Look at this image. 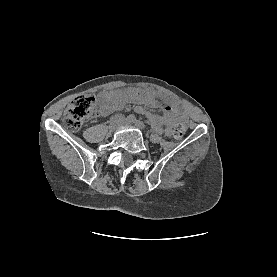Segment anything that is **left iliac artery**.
<instances>
[{"instance_id": "left-iliac-artery-1", "label": "left iliac artery", "mask_w": 277, "mask_h": 277, "mask_svg": "<svg viewBox=\"0 0 277 277\" xmlns=\"http://www.w3.org/2000/svg\"><path fill=\"white\" fill-rule=\"evenodd\" d=\"M135 125L140 129H145V124L140 120L135 121Z\"/></svg>"}]
</instances>
